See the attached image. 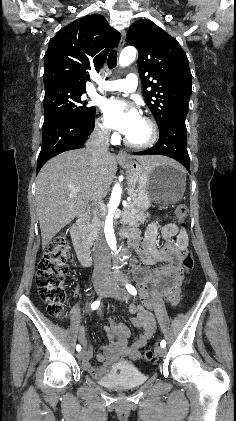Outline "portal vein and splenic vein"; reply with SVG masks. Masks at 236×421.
Instances as JSON below:
<instances>
[{
	"mask_svg": "<svg viewBox=\"0 0 236 421\" xmlns=\"http://www.w3.org/2000/svg\"><path fill=\"white\" fill-rule=\"evenodd\" d=\"M75 190H79V188H75ZM122 204L123 206H128V202H126V200H123Z\"/></svg>",
	"mask_w": 236,
	"mask_h": 421,
	"instance_id": "1",
	"label": "portal vein and splenic vein"
}]
</instances>
